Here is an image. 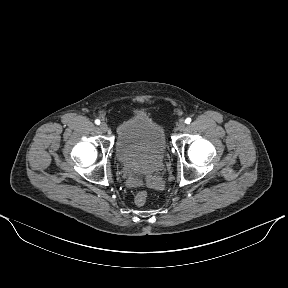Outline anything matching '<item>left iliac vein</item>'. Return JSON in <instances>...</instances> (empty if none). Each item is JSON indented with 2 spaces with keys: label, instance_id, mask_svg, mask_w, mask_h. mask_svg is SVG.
<instances>
[{
  "label": "left iliac vein",
  "instance_id": "4c4485c4",
  "mask_svg": "<svg viewBox=\"0 0 288 288\" xmlns=\"http://www.w3.org/2000/svg\"><path fill=\"white\" fill-rule=\"evenodd\" d=\"M178 129L180 130V131H183L184 129H185V127H186V123H185V121L184 120H180L179 122H178Z\"/></svg>",
  "mask_w": 288,
  "mask_h": 288
}]
</instances>
